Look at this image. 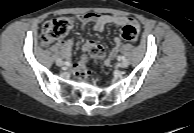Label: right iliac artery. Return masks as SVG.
Masks as SVG:
<instances>
[{"mask_svg": "<svg viewBox=\"0 0 194 133\" xmlns=\"http://www.w3.org/2000/svg\"><path fill=\"white\" fill-rule=\"evenodd\" d=\"M67 65H69V62H65Z\"/></svg>", "mask_w": 194, "mask_h": 133, "instance_id": "82829eb1", "label": "right iliac artery"}]
</instances>
